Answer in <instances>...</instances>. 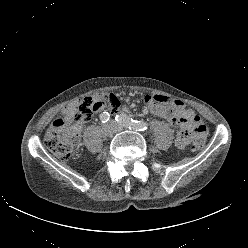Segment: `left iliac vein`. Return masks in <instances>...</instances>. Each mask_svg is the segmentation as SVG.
<instances>
[{
  "label": "left iliac vein",
  "mask_w": 248,
  "mask_h": 248,
  "mask_svg": "<svg viewBox=\"0 0 248 248\" xmlns=\"http://www.w3.org/2000/svg\"><path fill=\"white\" fill-rule=\"evenodd\" d=\"M111 124H113L115 126L116 132H120L123 130V127L118 125L117 123H115L114 121L110 122Z\"/></svg>",
  "instance_id": "4c4485c4"
}]
</instances>
